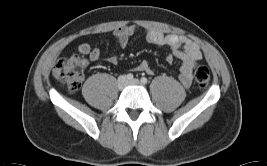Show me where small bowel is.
Segmentation results:
<instances>
[{
	"mask_svg": "<svg viewBox=\"0 0 267 166\" xmlns=\"http://www.w3.org/2000/svg\"><path fill=\"white\" fill-rule=\"evenodd\" d=\"M131 33V29H119L115 32V37L120 48H125L127 46ZM146 40L158 47H168L169 52L166 56L168 62H171L175 57L181 60V82L185 87H189L191 85L193 67L201 57L199 48L186 37L167 36L155 30L146 33ZM180 45L184 47L183 51L179 50ZM78 51L82 55L88 56L93 61L98 60L100 57L99 50L91 47V45L87 43L80 44L78 46ZM111 61L113 63H118L119 56H112ZM138 69L147 74L153 73V69L147 61H142Z\"/></svg>",
	"mask_w": 267,
	"mask_h": 166,
	"instance_id": "small-bowel-1",
	"label": "small bowel"
}]
</instances>
